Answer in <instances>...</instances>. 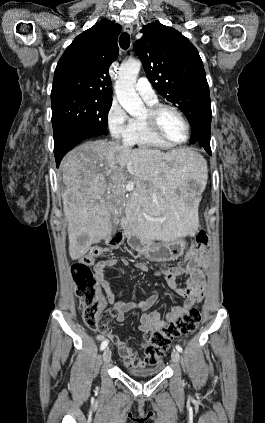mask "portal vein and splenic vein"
Wrapping results in <instances>:
<instances>
[{
	"label": "portal vein and splenic vein",
	"instance_id": "1",
	"mask_svg": "<svg viewBox=\"0 0 265 423\" xmlns=\"http://www.w3.org/2000/svg\"><path fill=\"white\" fill-rule=\"evenodd\" d=\"M127 191H132L134 189V184L133 183H127L125 186Z\"/></svg>",
	"mask_w": 265,
	"mask_h": 423
}]
</instances>
